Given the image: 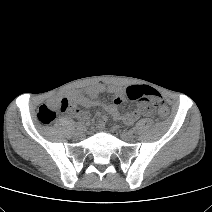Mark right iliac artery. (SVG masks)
Masks as SVG:
<instances>
[{
    "label": "right iliac artery",
    "mask_w": 212,
    "mask_h": 212,
    "mask_svg": "<svg viewBox=\"0 0 212 212\" xmlns=\"http://www.w3.org/2000/svg\"><path fill=\"white\" fill-rule=\"evenodd\" d=\"M75 127H76L77 129H82V128L84 127V124L81 123V122H77V123L75 124Z\"/></svg>",
    "instance_id": "obj_1"
}]
</instances>
